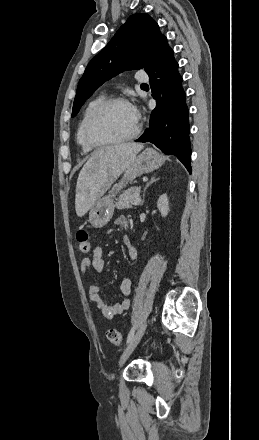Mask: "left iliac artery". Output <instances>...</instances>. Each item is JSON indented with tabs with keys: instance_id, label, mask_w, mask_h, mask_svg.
<instances>
[{
	"instance_id": "1",
	"label": "left iliac artery",
	"mask_w": 259,
	"mask_h": 440,
	"mask_svg": "<svg viewBox=\"0 0 259 440\" xmlns=\"http://www.w3.org/2000/svg\"><path fill=\"white\" fill-rule=\"evenodd\" d=\"M134 332H135V327H133L127 337V344L132 340L133 336H134Z\"/></svg>"
}]
</instances>
